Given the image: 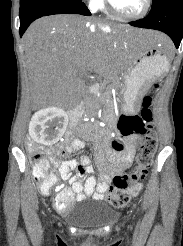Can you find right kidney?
<instances>
[{
	"label": "right kidney",
	"instance_id": "1",
	"mask_svg": "<svg viewBox=\"0 0 183 246\" xmlns=\"http://www.w3.org/2000/svg\"><path fill=\"white\" fill-rule=\"evenodd\" d=\"M67 124V114L61 108H45L32 116L29 134L35 142L51 145L56 143L64 134Z\"/></svg>",
	"mask_w": 183,
	"mask_h": 246
}]
</instances>
